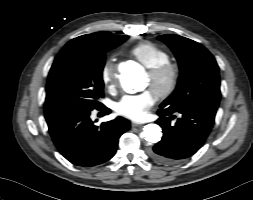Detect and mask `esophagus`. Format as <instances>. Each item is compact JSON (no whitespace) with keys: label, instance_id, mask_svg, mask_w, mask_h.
<instances>
[{"label":"esophagus","instance_id":"esophagus-1","mask_svg":"<svg viewBox=\"0 0 253 200\" xmlns=\"http://www.w3.org/2000/svg\"><path fill=\"white\" fill-rule=\"evenodd\" d=\"M131 125H132L133 128H135V127H141L142 126V124L135 123V122H133Z\"/></svg>","mask_w":253,"mask_h":200}]
</instances>
